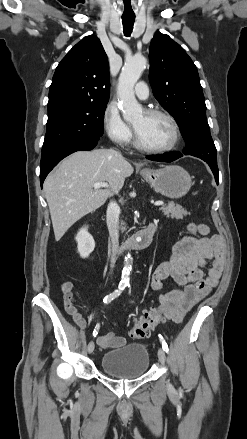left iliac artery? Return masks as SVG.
<instances>
[{"mask_svg":"<svg viewBox=\"0 0 247 439\" xmlns=\"http://www.w3.org/2000/svg\"><path fill=\"white\" fill-rule=\"evenodd\" d=\"M159 339H160V342H161V344H162V348H163V350H164L166 353H168L169 349H168V345H167L166 341L164 340V338H163L161 335H159Z\"/></svg>","mask_w":247,"mask_h":439,"instance_id":"obj_1","label":"left iliac artery"}]
</instances>
